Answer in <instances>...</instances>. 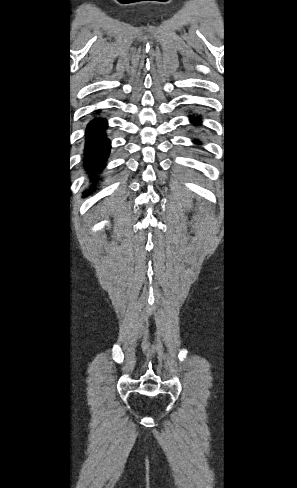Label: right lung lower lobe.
I'll use <instances>...</instances> for the list:
<instances>
[{
  "instance_id": "right-lung-lower-lobe-1",
  "label": "right lung lower lobe",
  "mask_w": 297,
  "mask_h": 488,
  "mask_svg": "<svg viewBox=\"0 0 297 488\" xmlns=\"http://www.w3.org/2000/svg\"><path fill=\"white\" fill-rule=\"evenodd\" d=\"M106 127L105 119H94L87 125L85 166L89 170L101 169L109 154L110 141L105 136Z\"/></svg>"
}]
</instances>
